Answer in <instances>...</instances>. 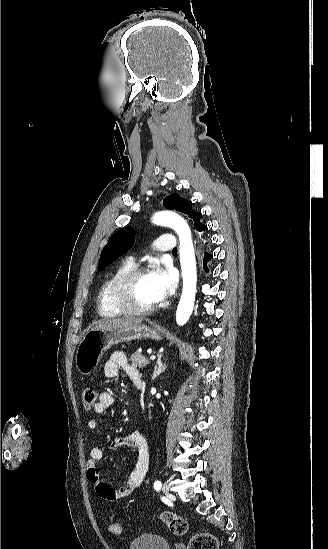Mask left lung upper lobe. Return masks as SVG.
I'll return each mask as SVG.
<instances>
[{"instance_id":"1","label":"left lung upper lobe","mask_w":328,"mask_h":549,"mask_svg":"<svg viewBox=\"0 0 328 549\" xmlns=\"http://www.w3.org/2000/svg\"><path fill=\"white\" fill-rule=\"evenodd\" d=\"M163 204L167 209L187 214L194 221V229H197L199 232L207 230V226L200 223L201 213L195 212L192 209L191 201L182 198L179 194H171L164 198ZM134 240L135 236L130 227H126L111 236L102 250L98 269H104L121 255L125 254L133 246Z\"/></svg>"}]
</instances>
